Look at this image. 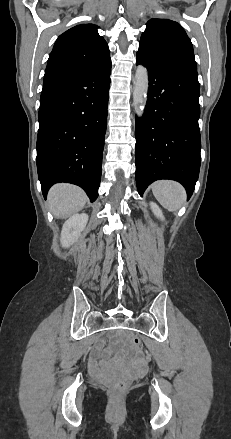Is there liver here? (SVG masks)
Masks as SVG:
<instances>
[{
  "label": "liver",
  "instance_id": "1",
  "mask_svg": "<svg viewBox=\"0 0 231 439\" xmlns=\"http://www.w3.org/2000/svg\"><path fill=\"white\" fill-rule=\"evenodd\" d=\"M86 202L85 192L70 184H56L48 193L50 210L56 218H67L77 213Z\"/></svg>",
  "mask_w": 231,
  "mask_h": 439
}]
</instances>
